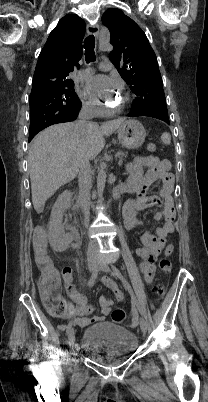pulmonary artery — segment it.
Here are the masks:
<instances>
[{"label": "pulmonary artery", "mask_w": 208, "mask_h": 402, "mask_svg": "<svg viewBox=\"0 0 208 402\" xmlns=\"http://www.w3.org/2000/svg\"><path fill=\"white\" fill-rule=\"evenodd\" d=\"M100 65H101L100 69L102 71H109L111 69L110 62L108 60H102L100 62ZM75 73L78 76H81V75L82 76H89L90 73H91V70H90L89 67H82V68L78 67V68H76Z\"/></svg>", "instance_id": "e3ab8cb5"}]
</instances>
